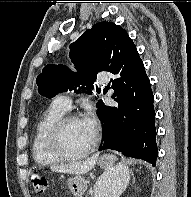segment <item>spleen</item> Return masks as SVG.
<instances>
[{"instance_id":"obj_1","label":"spleen","mask_w":191,"mask_h":197,"mask_svg":"<svg viewBox=\"0 0 191 197\" xmlns=\"http://www.w3.org/2000/svg\"><path fill=\"white\" fill-rule=\"evenodd\" d=\"M112 175L119 178L120 180H124L126 182H128L129 180V171L127 169V167H122L121 165H119L116 170L114 172H112ZM127 183L125 185H122L118 188H116L115 190V196L114 197H118L119 194H121V192L125 189Z\"/></svg>"}]
</instances>
